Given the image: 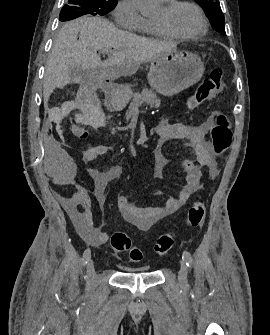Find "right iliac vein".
Wrapping results in <instances>:
<instances>
[{
    "label": "right iliac vein",
    "instance_id": "1",
    "mask_svg": "<svg viewBox=\"0 0 270 335\" xmlns=\"http://www.w3.org/2000/svg\"><path fill=\"white\" fill-rule=\"evenodd\" d=\"M96 273H95V268L92 260L88 261L87 264V278L90 284L94 282Z\"/></svg>",
    "mask_w": 270,
    "mask_h": 335
}]
</instances>
